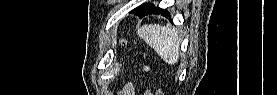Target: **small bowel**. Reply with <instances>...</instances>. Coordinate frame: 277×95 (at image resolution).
<instances>
[{"label":"small bowel","mask_w":277,"mask_h":95,"mask_svg":"<svg viewBox=\"0 0 277 95\" xmlns=\"http://www.w3.org/2000/svg\"><path fill=\"white\" fill-rule=\"evenodd\" d=\"M122 95H133L134 94V89L133 86L130 82H127L123 85L122 90L120 92ZM144 94H149L152 95L153 93L146 91ZM156 94H161V93H156Z\"/></svg>","instance_id":"small-bowel-1"}]
</instances>
